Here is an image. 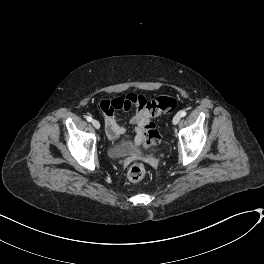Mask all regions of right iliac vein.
Listing matches in <instances>:
<instances>
[{
    "label": "right iliac vein",
    "instance_id": "63e3f726",
    "mask_svg": "<svg viewBox=\"0 0 264 264\" xmlns=\"http://www.w3.org/2000/svg\"><path fill=\"white\" fill-rule=\"evenodd\" d=\"M92 125H93L96 129H99V128H100V123H99V121H97V120H93V121H92Z\"/></svg>",
    "mask_w": 264,
    "mask_h": 264
}]
</instances>
